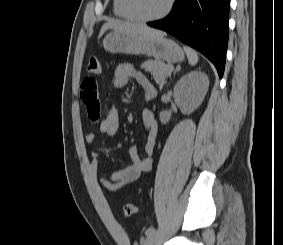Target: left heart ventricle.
<instances>
[{
  "label": "left heart ventricle",
  "instance_id": "left-heart-ventricle-1",
  "mask_svg": "<svg viewBox=\"0 0 283 245\" xmlns=\"http://www.w3.org/2000/svg\"><path fill=\"white\" fill-rule=\"evenodd\" d=\"M168 0H132L134 11L141 16L151 17L165 8Z\"/></svg>",
  "mask_w": 283,
  "mask_h": 245
}]
</instances>
